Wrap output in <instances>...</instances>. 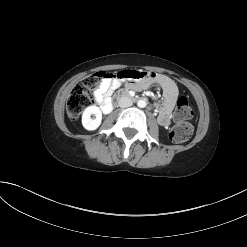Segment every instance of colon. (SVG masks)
<instances>
[{"mask_svg":"<svg viewBox=\"0 0 247 247\" xmlns=\"http://www.w3.org/2000/svg\"><path fill=\"white\" fill-rule=\"evenodd\" d=\"M134 71V70H133ZM115 74L96 72L86 77L80 84L76 85L67 101V114L69 118L77 119L82 111L93 102V92L96 91L105 78L114 77ZM193 115L185 97L177 100L174 111L175 125L170 132V138L176 143L187 141L193 132L192 125L187 121Z\"/></svg>","mask_w":247,"mask_h":247,"instance_id":"colon-1","label":"colon"}]
</instances>
